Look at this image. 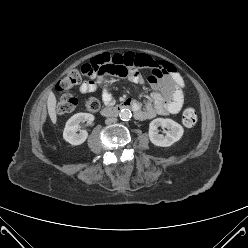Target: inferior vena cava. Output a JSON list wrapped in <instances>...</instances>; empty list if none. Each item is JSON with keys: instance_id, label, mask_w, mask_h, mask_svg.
<instances>
[{"instance_id": "602c4592", "label": "inferior vena cava", "mask_w": 248, "mask_h": 248, "mask_svg": "<svg viewBox=\"0 0 248 248\" xmlns=\"http://www.w3.org/2000/svg\"><path fill=\"white\" fill-rule=\"evenodd\" d=\"M116 121H117L116 118L111 117V118H107L106 121H105V123L106 124H112V123H115Z\"/></svg>"}]
</instances>
